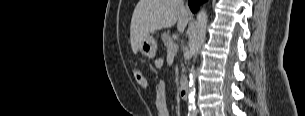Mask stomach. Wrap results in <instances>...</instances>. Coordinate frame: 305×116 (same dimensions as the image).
<instances>
[{"instance_id":"stomach-1","label":"stomach","mask_w":305,"mask_h":116,"mask_svg":"<svg viewBox=\"0 0 305 116\" xmlns=\"http://www.w3.org/2000/svg\"><path fill=\"white\" fill-rule=\"evenodd\" d=\"M139 51L149 57L154 58L157 52V42L152 35H147L139 45Z\"/></svg>"}]
</instances>
